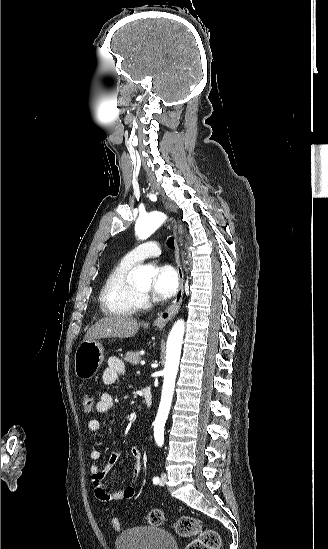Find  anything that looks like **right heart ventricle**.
<instances>
[{
  "label": "right heart ventricle",
  "instance_id": "1",
  "mask_svg": "<svg viewBox=\"0 0 328 549\" xmlns=\"http://www.w3.org/2000/svg\"><path fill=\"white\" fill-rule=\"evenodd\" d=\"M138 265L125 255L111 271L100 292L101 319H137L135 306L142 303L132 293L131 277Z\"/></svg>",
  "mask_w": 328,
  "mask_h": 549
}]
</instances>
